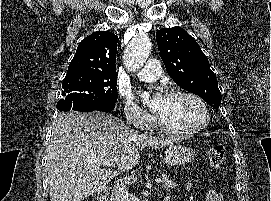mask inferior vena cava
<instances>
[{
    "label": "inferior vena cava",
    "instance_id": "obj_1",
    "mask_svg": "<svg viewBox=\"0 0 271 201\" xmlns=\"http://www.w3.org/2000/svg\"><path fill=\"white\" fill-rule=\"evenodd\" d=\"M127 123L130 125L132 124V121L127 120ZM110 201H130V194L122 179L115 182Z\"/></svg>",
    "mask_w": 271,
    "mask_h": 201
}]
</instances>
